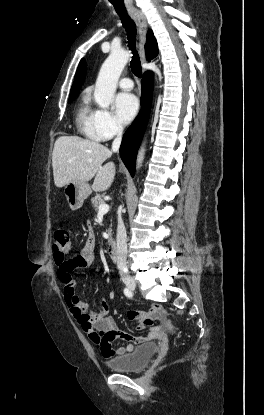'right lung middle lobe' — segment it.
Returning a JSON list of instances; mask_svg holds the SVG:
<instances>
[{"label":"right lung middle lobe","mask_w":264,"mask_h":415,"mask_svg":"<svg viewBox=\"0 0 264 415\" xmlns=\"http://www.w3.org/2000/svg\"><path fill=\"white\" fill-rule=\"evenodd\" d=\"M75 96H70L68 103H71L74 100Z\"/></svg>","instance_id":"obj_1"}]
</instances>
